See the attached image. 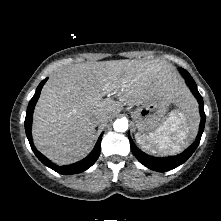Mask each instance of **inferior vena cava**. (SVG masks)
<instances>
[{
    "label": "inferior vena cava",
    "instance_id": "inferior-vena-cava-1",
    "mask_svg": "<svg viewBox=\"0 0 221 221\" xmlns=\"http://www.w3.org/2000/svg\"><path fill=\"white\" fill-rule=\"evenodd\" d=\"M107 121V117L105 115H97L96 116V124L99 125V124H103Z\"/></svg>",
    "mask_w": 221,
    "mask_h": 221
}]
</instances>
